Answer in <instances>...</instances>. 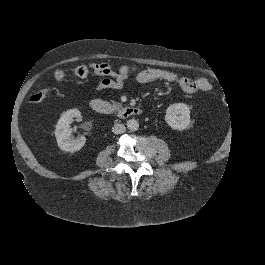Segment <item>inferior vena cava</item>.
<instances>
[{"instance_id": "1", "label": "inferior vena cava", "mask_w": 265, "mask_h": 265, "mask_svg": "<svg viewBox=\"0 0 265 265\" xmlns=\"http://www.w3.org/2000/svg\"><path fill=\"white\" fill-rule=\"evenodd\" d=\"M112 131L114 134H122L126 131V128L123 124L116 123L114 124Z\"/></svg>"}]
</instances>
